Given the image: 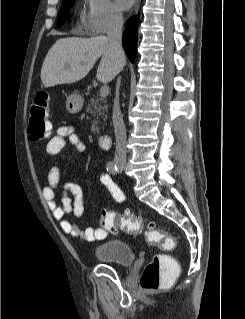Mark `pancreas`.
<instances>
[{"mask_svg":"<svg viewBox=\"0 0 245 319\" xmlns=\"http://www.w3.org/2000/svg\"><path fill=\"white\" fill-rule=\"evenodd\" d=\"M87 112L92 114L96 119L93 121L91 131L93 133H99L100 128L98 127L99 117L102 116L104 120L106 119V114L104 110L107 109L106 100L103 97L91 98L90 103H88Z\"/></svg>","mask_w":245,"mask_h":319,"instance_id":"pancreas-1","label":"pancreas"}]
</instances>
